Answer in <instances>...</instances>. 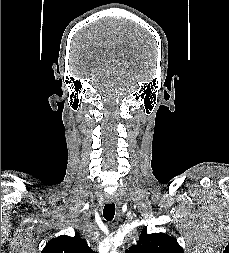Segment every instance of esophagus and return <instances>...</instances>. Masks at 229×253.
I'll return each instance as SVG.
<instances>
[{"mask_svg":"<svg viewBox=\"0 0 229 253\" xmlns=\"http://www.w3.org/2000/svg\"><path fill=\"white\" fill-rule=\"evenodd\" d=\"M114 202H115V198L114 197L108 196L106 198V203L111 204V203H114Z\"/></svg>","mask_w":229,"mask_h":253,"instance_id":"34e87169","label":"esophagus"}]
</instances>
